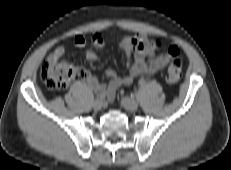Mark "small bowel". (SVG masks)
Returning <instances> with one entry per match:
<instances>
[{"label":"small bowel","instance_id":"small-bowel-1","mask_svg":"<svg viewBox=\"0 0 231 170\" xmlns=\"http://www.w3.org/2000/svg\"><path fill=\"white\" fill-rule=\"evenodd\" d=\"M160 41L151 39L145 34L126 35L119 39V47L124 51L126 57V65L128 73L120 76L113 69H108L106 75L109 78L107 84L101 83L96 77L87 74L85 82L94 91L104 93L108 100H112L116 90L123 85H130L135 78L143 74L155 73L166 67L170 61V56L166 53H156L164 46L156 48L154 43ZM91 42L94 47L100 48L105 41L101 33H95ZM161 42V41H160ZM163 43V42H162ZM74 44L77 48L83 49L86 46V39L83 35L78 34L74 38ZM66 48L64 46L57 47L47 58L50 63L59 62L64 56ZM85 58L88 61H95L97 55L93 50H86Z\"/></svg>","mask_w":231,"mask_h":170}]
</instances>
